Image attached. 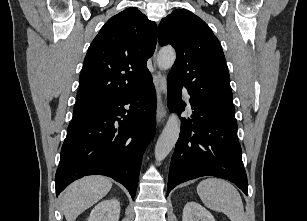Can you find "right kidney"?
<instances>
[{
	"mask_svg": "<svg viewBox=\"0 0 307 221\" xmlns=\"http://www.w3.org/2000/svg\"><path fill=\"white\" fill-rule=\"evenodd\" d=\"M120 203L117 199L103 200L90 213L88 221H119Z\"/></svg>",
	"mask_w": 307,
	"mask_h": 221,
	"instance_id": "ca27d5eb",
	"label": "right kidney"
}]
</instances>
